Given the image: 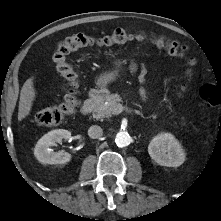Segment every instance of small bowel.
Listing matches in <instances>:
<instances>
[{
	"instance_id": "small-bowel-1",
	"label": "small bowel",
	"mask_w": 221,
	"mask_h": 221,
	"mask_svg": "<svg viewBox=\"0 0 221 221\" xmlns=\"http://www.w3.org/2000/svg\"><path fill=\"white\" fill-rule=\"evenodd\" d=\"M129 70L131 74H137L139 73V79L140 81H144L145 75H146V68L143 65H139L135 59H131L130 64H129ZM141 95L145 97V90L142 88L141 89Z\"/></svg>"
}]
</instances>
